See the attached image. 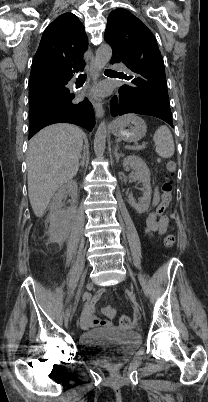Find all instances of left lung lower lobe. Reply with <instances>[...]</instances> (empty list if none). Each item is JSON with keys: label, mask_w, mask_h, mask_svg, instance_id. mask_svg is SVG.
Returning a JSON list of instances; mask_svg holds the SVG:
<instances>
[{"label": "left lung lower lobe", "mask_w": 208, "mask_h": 402, "mask_svg": "<svg viewBox=\"0 0 208 402\" xmlns=\"http://www.w3.org/2000/svg\"><path fill=\"white\" fill-rule=\"evenodd\" d=\"M111 63H117V60L112 57ZM140 98L139 95L132 94L124 87H120L119 94L114 96L110 102L112 116H120L128 113L149 115L160 118L173 127L169 105L151 99Z\"/></svg>", "instance_id": "left-lung-lower-lobe-1"}]
</instances>
